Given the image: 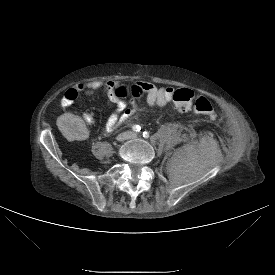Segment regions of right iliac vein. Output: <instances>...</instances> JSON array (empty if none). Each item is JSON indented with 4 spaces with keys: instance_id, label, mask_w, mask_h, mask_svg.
Returning a JSON list of instances; mask_svg holds the SVG:
<instances>
[{
    "instance_id": "obj_1",
    "label": "right iliac vein",
    "mask_w": 275,
    "mask_h": 275,
    "mask_svg": "<svg viewBox=\"0 0 275 275\" xmlns=\"http://www.w3.org/2000/svg\"><path fill=\"white\" fill-rule=\"evenodd\" d=\"M131 138V133L130 132H124L121 133L117 136V140L120 142L126 141Z\"/></svg>"
}]
</instances>
